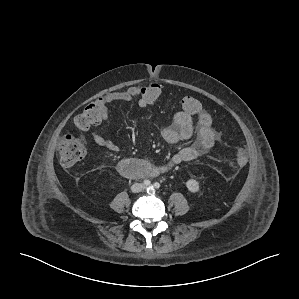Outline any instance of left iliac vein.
Returning <instances> with one entry per match:
<instances>
[{
  "label": "left iliac vein",
  "instance_id": "1",
  "mask_svg": "<svg viewBox=\"0 0 299 299\" xmlns=\"http://www.w3.org/2000/svg\"><path fill=\"white\" fill-rule=\"evenodd\" d=\"M148 190H153L152 187H148Z\"/></svg>",
  "mask_w": 299,
  "mask_h": 299
}]
</instances>
